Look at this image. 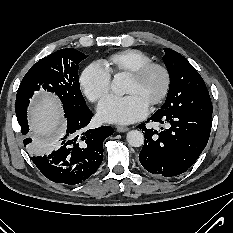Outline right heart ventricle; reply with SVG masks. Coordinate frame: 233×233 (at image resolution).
I'll use <instances>...</instances> for the list:
<instances>
[{
	"label": "right heart ventricle",
	"instance_id": "obj_1",
	"mask_svg": "<svg viewBox=\"0 0 233 233\" xmlns=\"http://www.w3.org/2000/svg\"><path fill=\"white\" fill-rule=\"evenodd\" d=\"M152 62V58L140 50L125 49L110 55L103 64L111 74L128 75L140 66Z\"/></svg>",
	"mask_w": 233,
	"mask_h": 233
}]
</instances>
